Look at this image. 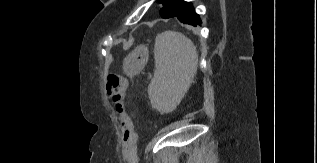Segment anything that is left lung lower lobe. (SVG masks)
Here are the masks:
<instances>
[{
	"instance_id": "left-lung-lower-lobe-1",
	"label": "left lung lower lobe",
	"mask_w": 317,
	"mask_h": 163,
	"mask_svg": "<svg viewBox=\"0 0 317 163\" xmlns=\"http://www.w3.org/2000/svg\"><path fill=\"white\" fill-rule=\"evenodd\" d=\"M171 17H177L182 23L190 24L193 26H196V24H201L199 15L196 14L194 8L189 2H184L177 13L167 18Z\"/></svg>"
}]
</instances>
